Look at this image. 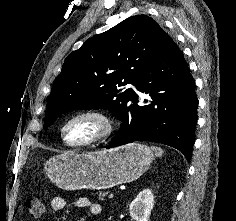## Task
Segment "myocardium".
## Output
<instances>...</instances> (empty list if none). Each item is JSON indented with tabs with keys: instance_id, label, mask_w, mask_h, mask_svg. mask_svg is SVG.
<instances>
[{
	"instance_id": "obj_1",
	"label": "myocardium",
	"mask_w": 236,
	"mask_h": 221,
	"mask_svg": "<svg viewBox=\"0 0 236 221\" xmlns=\"http://www.w3.org/2000/svg\"><path fill=\"white\" fill-rule=\"evenodd\" d=\"M84 117H93L98 119L103 126L102 132L86 142L78 144L69 143L65 137L66 128L73 121ZM115 130H116V122L109 113L101 109H86L73 114L72 116H70L65 120V122L62 124L60 128V138L64 143V145H66L67 147L74 149H82L108 140L113 136Z\"/></svg>"
}]
</instances>
